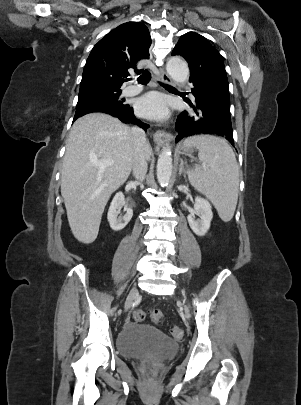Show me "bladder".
Instances as JSON below:
<instances>
[{"label": "bladder", "instance_id": "obj_1", "mask_svg": "<svg viewBox=\"0 0 301 405\" xmlns=\"http://www.w3.org/2000/svg\"><path fill=\"white\" fill-rule=\"evenodd\" d=\"M119 353L127 358L151 356L158 360L172 357L178 345L156 328L130 324L119 333L116 341Z\"/></svg>", "mask_w": 301, "mask_h": 405}]
</instances>
